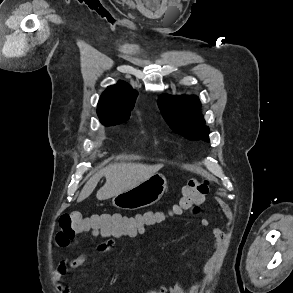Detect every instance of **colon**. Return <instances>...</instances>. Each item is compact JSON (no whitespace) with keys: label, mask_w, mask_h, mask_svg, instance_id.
<instances>
[{"label":"colon","mask_w":293,"mask_h":293,"mask_svg":"<svg viewBox=\"0 0 293 293\" xmlns=\"http://www.w3.org/2000/svg\"><path fill=\"white\" fill-rule=\"evenodd\" d=\"M209 191L206 180L190 179L182 188L177 203L173 206L174 214L193 211ZM144 226V222L136 217L120 214H99L85 216L78 211L66 212L59 217V229L56 243L66 246L80 235L92 232L96 235L107 236L129 232Z\"/></svg>","instance_id":"colon-1"}]
</instances>
